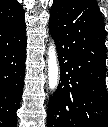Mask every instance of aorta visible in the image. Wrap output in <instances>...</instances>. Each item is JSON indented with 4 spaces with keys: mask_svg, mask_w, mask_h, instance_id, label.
Here are the masks:
<instances>
[{
    "mask_svg": "<svg viewBox=\"0 0 108 127\" xmlns=\"http://www.w3.org/2000/svg\"><path fill=\"white\" fill-rule=\"evenodd\" d=\"M59 82V66L54 42L48 48V84L50 90H55Z\"/></svg>",
    "mask_w": 108,
    "mask_h": 127,
    "instance_id": "aorta-1",
    "label": "aorta"
}]
</instances>
